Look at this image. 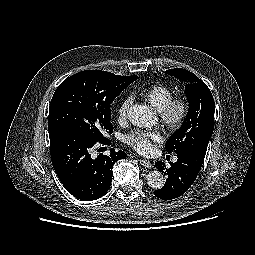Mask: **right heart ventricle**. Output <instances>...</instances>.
<instances>
[{
    "label": "right heart ventricle",
    "instance_id": "right-heart-ventricle-1",
    "mask_svg": "<svg viewBox=\"0 0 255 255\" xmlns=\"http://www.w3.org/2000/svg\"><path fill=\"white\" fill-rule=\"evenodd\" d=\"M174 92L172 88L163 83H156L145 89L141 93V97L150 103L158 111L173 98Z\"/></svg>",
    "mask_w": 255,
    "mask_h": 255
}]
</instances>
